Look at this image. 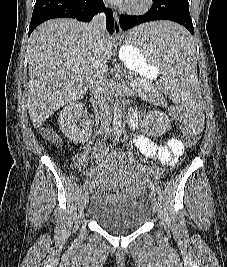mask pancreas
<instances>
[{"mask_svg": "<svg viewBox=\"0 0 227 267\" xmlns=\"http://www.w3.org/2000/svg\"><path fill=\"white\" fill-rule=\"evenodd\" d=\"M134 82V83H133ZM132 84L135 85V90L141 93L151 92L154 90L153 84L143 78H137Z\"/></svg>", "mask_w": 227, "mask_h": 267, "instance_id": "obj_1", "label": "pancreas"}]
</instances>
